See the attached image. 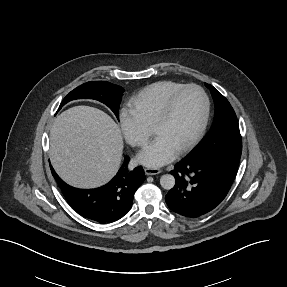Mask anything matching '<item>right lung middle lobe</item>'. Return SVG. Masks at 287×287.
Returning <instances> with one entry per match:
<instances>
[{
    "label": "right lung middle lobe",
    "instance_id": "dd1d6c3e",
    "mask_svg": "<svg viewBox=\"0 0 287 287\" xmlns=\"http://www.w3.org/2000/svg\"><path fill=\"white\" fill-rule=\"evenodd\" d=\"M124 89L106 81L87 82L71 91L62 101L59 109L74 99H95L107 105L118 118L119 106Z\"/></svg>",
    "mask_w": 287,
    "mask_h": 287
}]
</instances>
